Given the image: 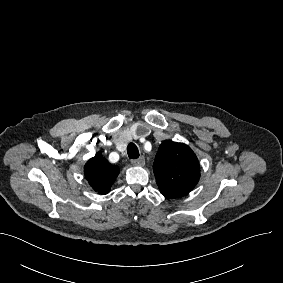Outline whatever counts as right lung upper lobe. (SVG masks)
<instances>
[{
    "mask_svg": "<svg viewBox=\"0 0 283 283\" xmlns=\"http://www.w3.org/2000/svg\"><path fill=\"white\" fill-rule=\"evenodd\" d=\"M84 173L88 183L96 192L107 194L119 174V168L110 164L101 152H98L86 163Z\"/></svg>",
    "mask_w": 283,
    "mask_h": 283,
    "instance_id": "1",
    "label": "right lung upper lobe"
}]
</instances>
